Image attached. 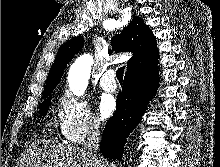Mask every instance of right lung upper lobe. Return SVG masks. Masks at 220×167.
Returning <instances> with one entry per match:
<instances>
[{"label":"right lung upper lobe","instance_id":"obj_1","mask_svg":"<svg viewBox=\"0 0 220 167\" xmlns=\"http://www.w3.org/2000/svg\"><path fill=\"white\" fill-rule=\"evenodd\" d=\"M82 40V36H77L59 49L55 62L49 71L43 98L50 97L53 89L58 85L66 65L82 48ZM111 45L112 49L117 52L129 51L133 53V56L128 60L127 72L146 65L157 64L158 52L155 37L149 27L137 16L133 17L130 25L124 28L121 34L113 36Z\"/></svg>","mask_w":220,"mask_h":167}]
</instances>
